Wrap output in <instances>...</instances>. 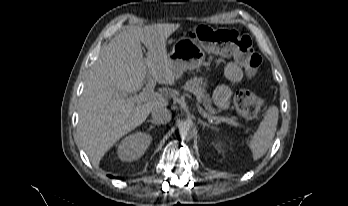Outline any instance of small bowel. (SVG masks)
Instances as JSON below:
<instances>
[{"label":"small bowel","mask_w":348,"mask_h":206,"mask_svg":"<svg viewBox=\"0 0 348 206\" xmlns=\"http://www.w3.org/2000/svg\"><path fill=\"white\" fill-rule=\"evenodd\" d=\"M224 77L226 82L219 85L214 92V102L220 109H226L229 106L232 94V86L241 82L243 73L240 67L230 62L224 67ZM208 84V80H204V85Z\"/></svg>","instance_id":"obj_1"}]
</instances>
